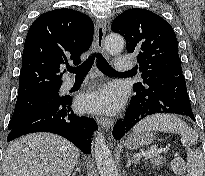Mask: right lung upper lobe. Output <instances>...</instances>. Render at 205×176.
<instances>
[{
    "label": "right lung upper lobe",
    "instance_id": "right-lung-upper-lobe-1",
    "mask_svg": "<svg viewBox=\"0 0 205 176\" xmlns=\"http://www.w3.org/2000/svg\"><path fill=\"white\" fill-rule=\"evenodd\" d=\"M92 20L78 11L62 8L46 12L31 25L24 45L18 97L60 87V67L73 60L92 43Z\"/></svg>",
    "mask_w": 205,
    "mask_h": 176
}]
</instances>
